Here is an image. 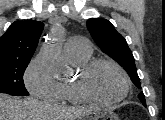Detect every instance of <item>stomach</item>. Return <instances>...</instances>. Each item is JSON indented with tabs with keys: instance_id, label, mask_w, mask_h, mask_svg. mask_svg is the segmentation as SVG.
Returning a JSON list of instances; mask_svg holds the SVG:
<instances>
[{
	"instance_id": "stomach-1",
	"label": "stomach",
	"mask_w": 165,
	"mask_h": 120,
	"mask_svg": "<svg viewBox=\"0 0 165 120\" xmlns=\"http://www.w3.org/2000/svg\"><path fill=\"white\" fill-rule=\"evenodd\" d=\"M80 120H119V117L110 111L92 110L86 113Z\"/></svg>"
}]
</instances>
